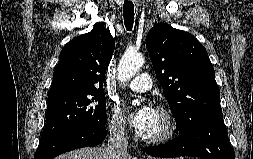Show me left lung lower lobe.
<instances>
[{
  "label": "left lung lower lobe",
  "instance_id": "0a47b994",
  "mask_svg": "<svg viewBox=\"0 0 253 159\" xmlns=\"http://www.w3.org/2000/svg\"><path fill=\"white\" fill-rule=\"evenodd\" d=\"M179 136L165 145L146 147L155 157L195 156L205 159H235L223 114H210L179 129Z\"/></svg>",
  "mask_w": 253,
  "mask_h": 159
}]
</instances>
